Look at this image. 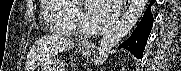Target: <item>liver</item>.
<instances>
[{
	"mask_svg": "<svg viewBox=\"0 0 181 71\" xmlns=\"http://www.w3.org/2000/svg\"><path fill=\"white\" fill-rule=\"evenodd\" d=\"M73 40L67 39L61 36H46L36 42V46H33L26 64V71H32L44 58L56 55L60 52L73 48Z\"/></svg>",
	"mask_w": 181,
	"mask_h": 71,
	"instance_id": "obj_1",
	"label": "liver"
}]
</instances>
